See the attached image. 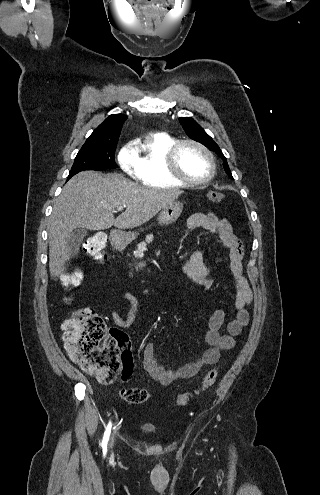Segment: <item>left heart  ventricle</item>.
I'll list each match as a JSON object with an SVG mask.
<instances>
[{
    "mask_svg": "<svg viewBox=\"0 0 320 495\" xmlns=\"http://www.w3.org/2000/svg\"><path fill=\"white\" fill-rule=\"evenodd\" d=\"M182 173L190 179H203L210 171V163L205 154L198 148L184 146L178 156Z\"/></svg>",
    "mask_w": 320,
    "mask_h": 495,
    "instance_id": "left-heart-ventricle-1",
    "label": "left heart ventricle"
}]
</instances>
